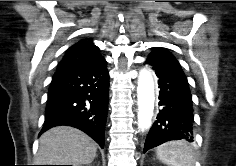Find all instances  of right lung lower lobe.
<instances>
[{
	"instance_id": "1",
	"label": "right lung lower lobe",
	"mask_w": 236,
	"mask_h": 166,
	"mask_svg": "<svg viewBox=\"0 0 236 166\" xmlns=\"http://www.w3.org/2000/svg\"><path fill=\"white\" fill-rule=\"evenodd\" d=\"M106 63L55 72L48 90L41 132L59 125L72 126L84 131L104 148L109 95Z\"/></svg>"
}]
</instances>
